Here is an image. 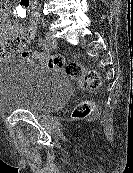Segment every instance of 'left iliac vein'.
<instances>
[{
  "label": "left iliac vein",
  "instance_id": "1",
  "mask_svg": "<svg viewBox=\"0 0 133 173\" xmlns=\"http://www.w3.org/2000/svg\"><path fill=\"white\" fill-rule=\"evenodd\" d=\"M45 44L48 46V47H51V48H54L57 46V40L56 38L53 36L52 32L48 31L46 32V35H45Z\"/></svg>",
  "mask_w": 133,
  "mask_h": 173
}]
</instances>
